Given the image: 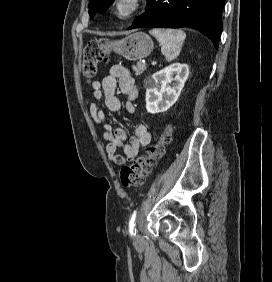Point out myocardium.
I'll return each instance as SVG.
<instances>
[{"instance_id":"myocardium-1","label":"myocardium","mask_w":272,"mask_h":282,"mask_svg":"<svg viewBox=\"0 0 272 282\" xmlns=\"http://www.w3.org/2000/svg\"><path fill=\"white\" fill-rule=\"evenodd\" d=\"M143 8V0H115L113 10L123 20L135 17Z\"/></svg>"}]
</instances>
